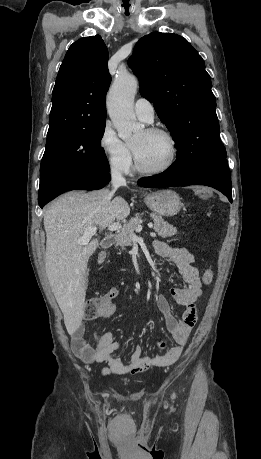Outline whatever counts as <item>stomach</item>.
Wrapping results in <instances>:
<instances>
[{"label":"stomach","mask_w":261,"mask_h":459,"mask_svg":"<svg viewBox=\"0 0 261 459\" xmlns=\"http://www.w3.org/2000/svg\"><path fill=\"white\" fill-rule=\"evenodd\" d=\"M145 203L160 216H174L183 206L179 195L170 189H162L147 194Z\"/></svg>","instance_id":"0dacf381"}]
</instances>
